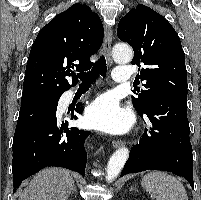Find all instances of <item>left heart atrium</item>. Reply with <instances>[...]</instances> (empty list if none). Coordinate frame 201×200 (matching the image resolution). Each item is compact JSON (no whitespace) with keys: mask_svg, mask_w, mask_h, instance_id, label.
Segmentation results:
<instances>
[{"mask_svg":"<svg viewBox=\"0 0 201 200\" xmlns=\"http://www.w3.org/2000/svg\"><path fill=\"white\" fill-rule=\"evenodd\" d=\"M87 125L112 134L124 133L131 127V115L110 95L97 98L87 109Z\"/></svg>","mask_w":201,"mask_h":200,"instance_id":"left-heart-atrium-1","label":"left heart atrium"}]
</instances>
